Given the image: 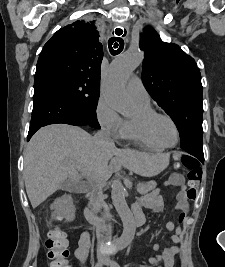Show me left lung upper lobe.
I'll list each match as a JSON object with an SVG mask.
<instances>
[{
  "instance_id": "obj_1",
  "label": "left lung upper lobe",
  "mask_w": 225,
  "mask_h": 267,
  "mask_svg": "<svg viewBox=\"0 0 225 267\" xmlns=\"http://www.w3.org/2000/svg\"><path fill=\"white\" fill-rule=\"evenodd\" d=\"M140 48L145 88L176 124L182 149L203 152L202 84L195 60L150 27L141 35Z\"/></svg>"
}]
</instances>
